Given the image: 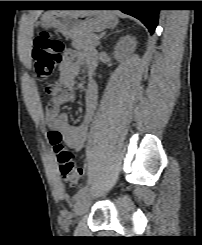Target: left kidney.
<instances>
[{
    "mask_svg": "<svg viewBox=\"0 0 202 245\" xmlns=\"http://www.w3.org/2000/svg\"><path fill=\"white\" fill-rule=\"evenodd\" d=\"M137 41L130 35L122 37L114 48V56L117 60H122L127 54L134 52Z\"/></svg>",
    "mask_w": 202,
    "mask_h": 245,
    "instance_id": "1",
    "label": "left kidney"
}]
</instances>
